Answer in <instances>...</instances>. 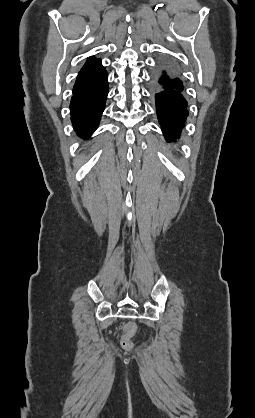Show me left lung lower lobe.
<instances>
[{
  "label": "left lung lower lobe",
  "instance_id": "left-lung-lower-lobe-1",
  "mask_svg": "<svg viewBox=\"0 0 255 418\" xmlns=\"http://www.w3.org/2000/svg\"><path fill=\"white\" fill-rule=\"evenodd\" d=\"M155 82L156 109L161 129L168 142L176 141L188 116L184 86L177 66L168 59L162 60Z\"/></svg>",
  "mask_w": 255,
  "mask_h": 418
}]
</instances>
